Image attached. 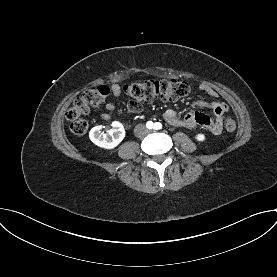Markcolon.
I'll list each match as a JSON object with an SVG mask.
<instances>
[{"label": "colon", "instance_id": "colon-1", "mask_svg": "<svg viewBox=\"0 0 277 277\" xmlns=\"http://www.w3.org/2000/svg\"><path fill=\"white\" fill-rule=\"evenodd\" d=\"M189 84L179 80H146L128 84L124 92L135 102H151L161 100L164 102L176 101L188 95ZM109 88L105 85L96 86L86 90L78 97L67 111V119L71 122L70 129L74 134L82 135L88 130V122L82 118L91 108L100 107L105 103ZM225 128L233 131L236 128L234 119L227 116L224 120Z\"/></svg>", "mask_w": 277, "mask_h": 277}]
</instances>
